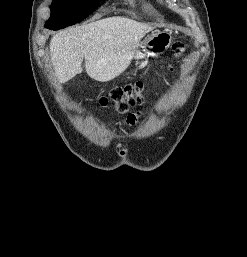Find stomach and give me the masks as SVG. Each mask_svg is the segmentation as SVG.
I'll use <instances>...</instances> for the list:
<instances>
[{
	"label": "stomach",
	"instance_id": "stomach-1",
	"mask_svg": "<svg viewBox=\"0 0 247 257\" xmlns=\"http://www.w3.org/2000/svg\"><path fill=\"white\" fill-rule=\"evenodd\" d=\"M172 42V35L168 32H157L147 36L138 46L134 55L136 61L147 56H158L167 50Z\"/></svg>",
	"mask_w": 247,
	"mask_h": 257
}]
</instances>
